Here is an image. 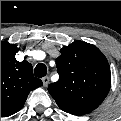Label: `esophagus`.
<instances>
[{
	"mask_svg": "<svg viewBox=\"0 0 121 121\" xmlns=\"http://www.w3.org/2000/svg\"><path fill=\"white\" fill-rule=\"evenodd\" d=\"M43 86L47 87L49 84V77L45 76L42 78Z\"/></svg>",
	"mask_w": 121,
	"mask_h": 121,
	"instance_id": "1",
	"label": "esophagus"
}]
</instances>
